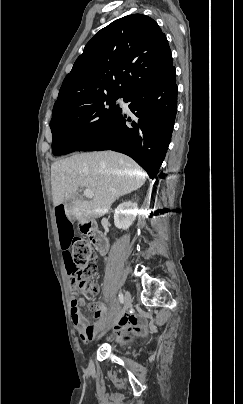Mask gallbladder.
Wrapping results in <instances>:
<instances>
[{"label":"gallbladder","mask_w":243,"mask_h":404,"mask_svg":"<svg viewBox=\"0 0 243 404\" xmlns=\"http://www.w3.org/2000/svg\"><path fill=\"white\" fill-rule=\"evenodd\" d=\"M65 204H66L65 210L69 214V217L73 218L74 217V214L72 213V210H73L72 204H74L73 198H68V200H66Z\"/></svg>","instance_id":"bac80fb5"}]
</instances>
